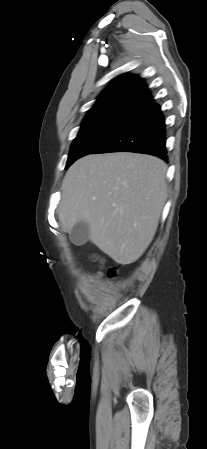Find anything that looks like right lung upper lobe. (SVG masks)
I'll list each match as a JSON object with an SVG mask.
<instances>
[{"instance_id":"obj_1","label":"right lung upper lobe","mask_w":207,"mask_h":449,"mask_svg":"<svg viewBox=\"0 0 207 449\" xmlns=\"http://www.w3.org/2000/svg\"><path fill=\"white\" fill-rule=\"evenodd\" d=\"M154 103L142 79L134 75H121L98 97L87 115L109 111L137 113Z\"/></svg>"}]
</instances>
